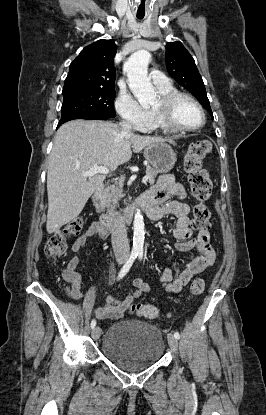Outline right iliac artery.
I'll use <instances>...</instances> for the list:
<instances>
[{
  "instance_id": "82829eb1",
  "label": "right iliac artery",
  "mask_w": 266,
  "mask_h": 415,
  "mask_svg": "<svg viewBox=\"0 0 266 415\" xmlns=\"http://www.w3.org/2000/svg\"><path fill=\"white\" fill-rule=\"evenodd\" d=\"M138 256V252L137 251H132L130 254L129 259L127 260V262L125 263V265L122 267V269L120 270L119 274H118V279L123 278L128 271L130 270L133 262L135 261V259ZM96 326V321L93 319L91 321V328L93 329Z\"/></svg>"
}]
</instances>
